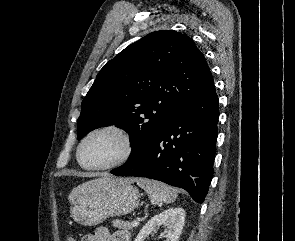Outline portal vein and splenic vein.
<instances>
[{"instance_id": "18ae733b", "label": "portal vein and splenic vein", "mask_w": 295, "mask_h": 241, "mask_svg": "<svg viewBox=\"0 0 295 241\" xmlns=\"http://www.w3.org/2000/svg\"><path fill=\"white\" fill-rule=\"evenodd\" d=\"M138 225H139V222L136 221V220H134V221L131 222V226L132 227H138Z\"/></svg>"}]
</instances>
